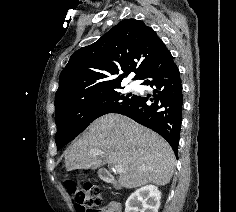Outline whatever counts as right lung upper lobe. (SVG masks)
<instances>
[{
  "label": "right lung upper lobe",
  "mask_w": 236,
  "mask_h": 212,
  "mask_svg": "<svg viewBox=\"0 0 236 212\" xmlns=\"http://www.w3.org/2000/svg\"><path fill=\"white\" fill-rule=\"evenodd\" d=\"M166 48L155 31L136 19H125L95 43L73 53L59 77L55 112L70 103L120 87L130 72L139 79ZM120 67L125 73L116 79Z\"/></svg>",
  "instance_id": "1"
}]
</instances>
